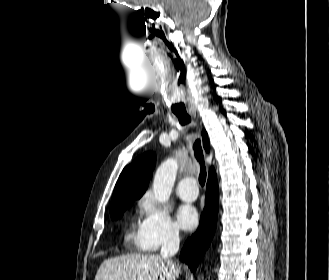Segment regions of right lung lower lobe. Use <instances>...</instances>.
<instances>
[{"label":"right lung lower lobe","instance_id":"1","mask_svg":"<svg viewBox=\"0 0 329 280\" xmlns=\"http://www.w3.org/2000/svg\"><path fill=\"white\" fill-rule=\"evenodd\" d=\"M219 202V188L216 173L208 177L206 189V205L201 215L199 228L183 246L181 260L185 262L192 272H195L205 251L210 245L217 223Z\"/></svg>","mask_w":329,"mask_h":280}]
</instances>
